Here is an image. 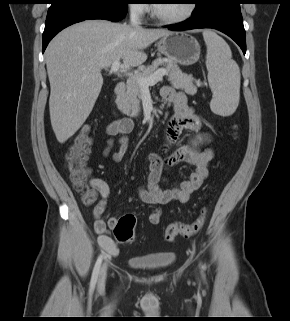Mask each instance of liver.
Here are the masks:
<instances>
[{"mask_svg": "<svg viewBox=\"0 0 290 321\" xmlns=\"http://www.w3.org/2000/svg\"><path fill=\"white\" fill-rule=\"evenodd\" d=\"M169 33L86 20L56 35L45 58L50 120L58 142L63 144L73 136L91 113L103 85L102 69L115 60H122L126 67L142 65L147 60L144 49Z\"/></svg>", "mask_w": 290, "mask_h": 321, "instance_id": "1", "label": "liver"}]
</instances>
